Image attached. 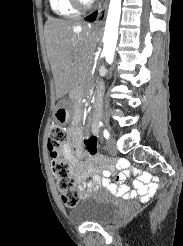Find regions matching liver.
<instances>
[{
    "label": "liver",
    "instance_id": "obj_1",
    "mask_svg": "<svg viewBox=\"0 0 183 246\" xmlns=\"http://www.w3.org/2000/svg\"><path fill=\"white\" fill-rule=\"evenodd\" d=\"M97 35L86 24L50 19L46 25V49L57 98L63 97L90 66Z\"/></svg>",
    "mask_w": 183,
    "mask_h": 246
}]
</instances>
